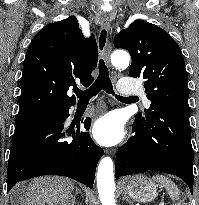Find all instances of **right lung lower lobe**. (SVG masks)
I'll list each match as a JSON object with an SVG mask.
<instances>
[{"label":"right lung lower lobe","instance_id":"98d812e1","mask_svg":"<svg viewBox=\"0 0 199 205\" xmlns=\"http://www.w3.org/2000/svg\"><path fill=\"white\" fill-rule=\"evenodd\" d=\"M74 105V104H71ZM70 105L61 109L58 122L41 125L12 139L8 162L7 191L21 180L42 175H61L93 187L96 166L104 155L89 133H73L72 141L65 138L72 132L63 131ZM91 119L84 120L89 129Z\"/></svg>","mask_w":199,"mask_h":205}]
</instances>
